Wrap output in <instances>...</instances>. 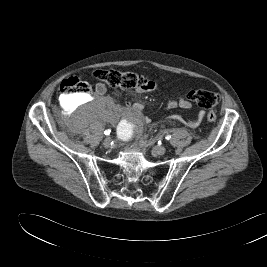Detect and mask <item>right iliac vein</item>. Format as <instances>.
<instances>
[{
    "instance_id": "right-iliac-vein-1",
    "label": "right iliac vein",
    "mask_w": 267,
    "mask_h": 267,
    "mask_svg": "<svg viewBox=\"0 0 267 267\" xmlns=\"http://www.w3.org/2000/svg\"><path fill=\"white\" fill-rule=\"evenodd\" d=\"M111 144V139L109 137L105 138V140L103 141V145L105 148H109Z\"/></svg>"
}]
</instances>
